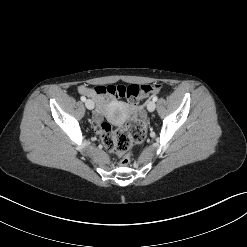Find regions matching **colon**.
<instances>
[{
	"label": "colon",
	"mask_w": 247,
	"mask_h": 247,
	"mask_svg": "<svg viewBox=\"0 0 247 247\" xmlns=\"http://www.w3.org/2000/svg\"><path fill=\"white\" fill-rule=\"evenodd\" d=\"M162 90L159 84L144 85H109L105 91L115 97H125L130 101V106L150 95L158 94ZM96 93H101V88H96ZM99 134L102 144L110 151L117 153L120 165H127L130 162V152L135 143L142 142L146 137V125L143 121L133 118L125 127L113 129L108 123L99 126Z\"/></svg>",
	"instance_id": "1"
}]
</instances>
